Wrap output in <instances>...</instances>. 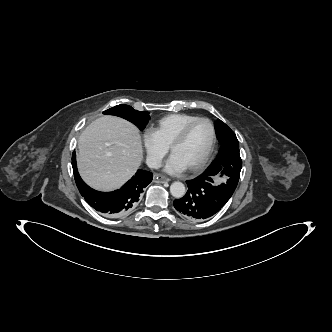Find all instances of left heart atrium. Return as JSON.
Instances as JSON below:
<instances>
[{
    "instance_id": "1",
    "label": "left heart atrium",
    "mask_w": 332,
    "mask_h": 332,
    "mask_svg": "<svg viewBox=\"0 0 332 332\" xmlns=\"http://www.w3.org/2000/svg\"><path fill=\"white\" fill-rule=\"evenodd\" d=\"M164 170L170 174H178L186 170V166L172 154L165 163Z\"/></svg>"
}]
</instances>
